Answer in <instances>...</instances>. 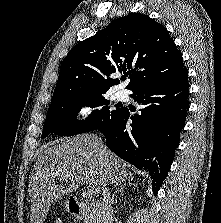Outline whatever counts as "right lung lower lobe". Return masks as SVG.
Masks as SVG:
<instances>
[{"label":"right lung lower lobe","mask_w":221,"mask_h":223,"mask_svg":"<svg viewBox=\"0 0 221 223\" xmlns=\"http://www.w3.org/2000/svg\"><path fill=\"white\" fill-rule=\"evenodd\" d=\"M188 71L135 88L131 95L143 105L140 114L132 115L127 107L98 128L106 145L116 155L138 169L149 172L156 194L171 167L180 132L189 109ZM128 119L132 120L126 125Z\"/></svg>","instance_id":"obj_1"}]
</instances>
